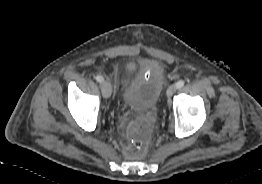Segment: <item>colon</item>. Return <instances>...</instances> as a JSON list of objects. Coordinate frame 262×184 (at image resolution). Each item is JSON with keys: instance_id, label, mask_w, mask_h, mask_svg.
I'll return each instance as SVG.
<instances>
[{"instance_id": "5ec220e1", "label": "colon", "mask_w": 262, "mask_h": 184, "mask_svg": "<svg viewBox=\"0 0 262 184\" xmlns=\"http://www.w3.org/2000/svg\"><path fill=\"white\" fill-rule=\"evenodd\" d=\"M148 134V126L144 122L139 121L132 126L133 138L131 140V143L137 153H142L146 150L148 143Z\"/></svg>"}]
</instances>
